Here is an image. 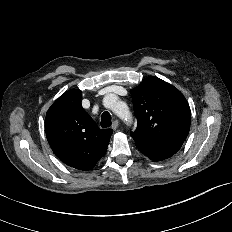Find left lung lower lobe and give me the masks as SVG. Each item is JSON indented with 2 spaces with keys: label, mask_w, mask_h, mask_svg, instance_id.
Masks as SVG:
<instances>
[{
  "label": "left lung lower lobe",
  "mask_w": 232,
  "mask_h": 232,
  "mask_svg": "<svg viewBox=\"0 0 232 232\" xmlns=\"http://www.w3.org/2000/svg\"><path fill=\"white\" fill-rule=\"evenodd\" d=\"M136 147L153 161H161L174 155L182 146L180 143L161 145H144L135 143Z\"/></svg>",
  "instance_id": "obj_1"
}]
</instances>
